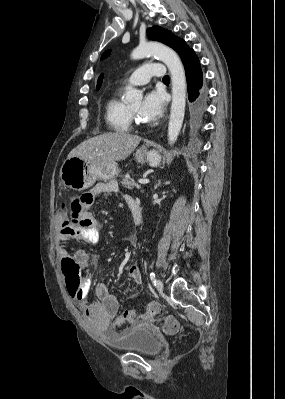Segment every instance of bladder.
<instances>
[{"mask_svg": "<svg viewBox=\"0 0 285 399\" xmlns=\"http://www.w3.org/2000/svg\"><path fill=\"white\" fill-rule=\"evenodd\" d=\"M106 337L107 346L118 351L154 356L161 350L155 335L142 326H135L119 335L106 333Z\"/></svg>", "mask_w": 285, "mask_h": 399, "instance_id": "1", "label": "bladder"}]
</instances>
